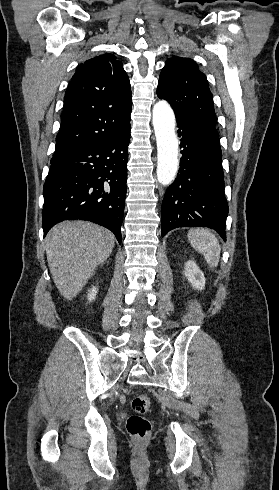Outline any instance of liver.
I'll return each instance as SVG.
<instances>
[{
  "instance_id": "liver-1",
  "label": "liver",
  "mask_w": 279,
  "mask_h": 490,
  "mask_svg": "<svg viewBox=\"0 0 279 490\" xmlns=\"http://www.w3.org/2000/svg\"><path fill=\"white\" fill-rule=\"evenodd\" d=\"M115 236L91 222H62L45 238L49 270L65 300L75 298L94 270L109 258Z\"/></svg>"
}]
</instances>
